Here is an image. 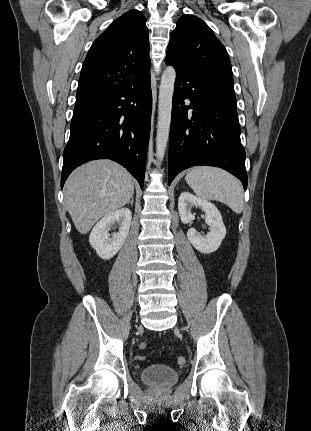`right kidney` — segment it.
Masks as SVG:
<instances>
[{"label":"right kidney","mask_w":311,"mask_h":431,"mask_svg":"<svg viewBox=\"0 0 311 431\" xmlns=\"http://www.w3.org/2000/svg\"><path fill=\"white\" fill-rule=\"evenodd\" d=\"M131 219V210L121 208V210L106 214L100 221H97L89 235V241L92 247L96 249L99 257L110 259V257H113L121 249L128 235ZM115 221L119 223V231L112 233V237H110L108 231Z\"/></svg>","instance_id":"right-kidney-1"}]
</instances>
